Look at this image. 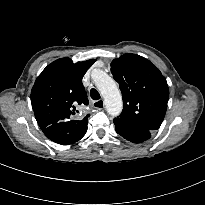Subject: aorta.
Instances as JSON below:
<instances>
[{"label":"aorta","mask_w":205,"mask_h":205,"mask_svg":"<svg viewBox=\"0 0 205 205\" xmlns=\"http://www.w3.org/2000/svg\"><path fill=\"white\" fill-rule=\"evenodd\" d=\"M93 80L104 98L107 112L112 116H118L122 111L123 102L116 82L102 70H94Z\"/></svg>","instance_id":"762f6f07"}]
</instances>
